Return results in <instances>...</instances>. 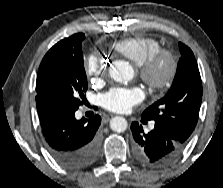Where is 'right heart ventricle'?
Instances as JSON below:
<instances>
[{"label":"right heart ventricle","mask_w":223,"mask_h":188,"mask_svg":"<svg viewBox=\"0 0 223 188\" xmlns=\"http://www.w3.org/2000/svg\"><path fill=\"white\" fill-rule=\"evenodd\" d=\"M112 49L140 65L150 55L161 49V44L154 37L135 36L115 41L112 44Z\"/></svg>","instance_id":"e07e8e85"}]
</instances>
